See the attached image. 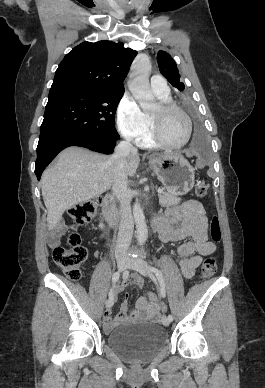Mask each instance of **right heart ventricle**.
I'll return each instance as SVG.
<instances>
[{"instance_id": "obj_1", "label": "right heart ventricle", "mask_w": 265, "mask_h": 388, "mask_svg": "<svg viewBox=\"0 0 265 388\" xmlns=\"http://www.w3.org/2000/svg\"><path fill=\"white\" fill-rule=\"evenodd\" d=\"M154 96L155 98H158L160 103H166L171 101L168 91H155ZM160 103L158 102V105ZM138 144L144 148H154L158 146L157 142L153 137V132L151 130V127L148 130V132L141 139H139Z\"/></svg>"}]
</instances>
